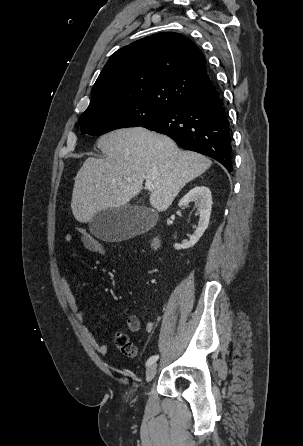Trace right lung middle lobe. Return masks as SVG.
Instances as JSON below:
<instances>
[{
  "instance_id": "dd1d6c3e",
  "label": "right lung middle lobe",
  "mask_w": 303,
  "mask_h": 446,
  "mask_svg": "<svg viewBox=\"0 0 303 446\" xmlns=\"http://www.w3.org/2000/svg\"><path fill=\"white\" fill-rule=\"evenodd\" d=\"M171 108L143 102L114 103L87 109L79 123L82 133L97 136L119 128L142 126Z\"/></svg>"
}]
</instances>
